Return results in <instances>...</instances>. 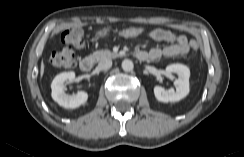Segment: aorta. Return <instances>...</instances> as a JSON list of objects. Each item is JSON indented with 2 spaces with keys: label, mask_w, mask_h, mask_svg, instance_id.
Segmentation results:
<instances>
[{
  "label": "aorta",
  "mask_w": 244,
  "mask_h": 157,
  "mask_svg": "<svg viewBox=\"0 0 244 157\" xmlns=\"http://www.w3.org/2000/svg\"><path fill=\"white\" fill-rule=\"evenodd\" d=\"M122 69L126 72H130L134 69V64L131 60L129 59H125L123 62H122Z\"/></svg>",
  "instance_id": "obj_1"
}]
</instances>
